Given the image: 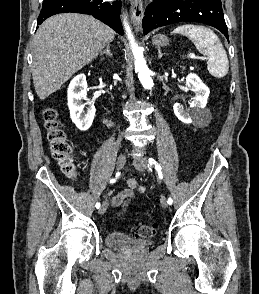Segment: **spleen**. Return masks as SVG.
<instances>
[{
	"label": "spleen",
	"instance_id": "obj_1",
	"mask_svg": "<svg viewBox=\"0 0 259 294\" xmlns=\"http://www.w3.org/2000/svg\"><path fill=\"white\" fill-rule=\"evenodd\" d=\"M172 33L188 37L196 49L208 57L207 68L212 76L222 78L228 73L229 62L226 51L218 36L211 29L186 24L178 26Z\"/></svg>",
	"mask_w": 259,
	"mask_h": 294
}]
</instances>
